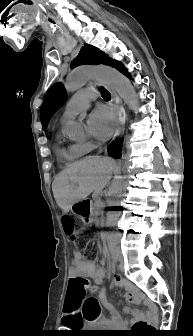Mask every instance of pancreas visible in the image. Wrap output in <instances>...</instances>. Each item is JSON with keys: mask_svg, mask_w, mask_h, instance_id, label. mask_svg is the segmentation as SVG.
<instances>
[{"mask_svg": "<svg viewBox=\"0 0 193 336\" xmlns=\"http://www.w3.org/2000/svg\"><path fill=\"white\" fill-rule=\"evenodd\" d=\"M103 204L102 203H95L93 206V210H94V214H95V218H96V222L100 223L102 221V218L99 215V211L102 209Z\"/></svg>", "mask_w": 193, "mask_h": 336, "instance_id": "pancreas-1", "label": "pancreas"}]
</instances>
